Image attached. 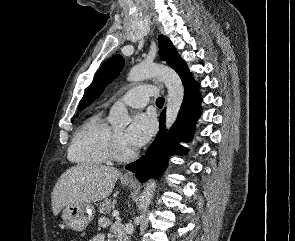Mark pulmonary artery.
<instances>
[{
    "mask_svg": "<svg viewBox=\"0 0 295 241\" xmlns=\"http://www.w3.org/2000/svg\"><path fill=\"white\" fill-rule=\"evenodd\" d=\"M155 94V86L150 84H142L126 91L121 97V101L133 108H141L146 106L150 98Z\"/></svg>",
    "mask_w": 295,
    "mask_h": 241,
    "instance_id": "obj_1",
    "label": "pulmonary artery"
}]
</instances>
